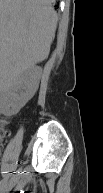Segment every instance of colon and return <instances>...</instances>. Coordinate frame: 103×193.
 Segmentation results:
<instances>
[{"mask_svg": "<svg viewBox=\"0 0 103 193\" xmlns=\"http://www.w3.org/2000/svg\"><path fill=\"white\" fill-rule=\"evenodd\" d=\"M5 133H6V130L3 129L2 132H1V137H2V138H5V137H4V134H5Z\"/></svg>", "mask_w": 103, "mask_h": 193, "instance_id": "1", "label": "colon"}]
</instances>
